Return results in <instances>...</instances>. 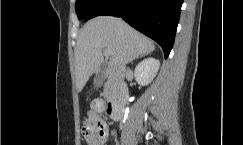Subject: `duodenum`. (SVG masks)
<instances>
[{"mask_svg": "<svg viewBox=\"0 0 243 145\" xmlns=\"http://www.w3.org/2000/svg\"><path fill=\"white\" fill-rule=\"evenodd\" d=\"M108 73L115 79H120L124 76V71L120 69H111ZM127 104V92L125 89L111 97L106 105V113L115 121L123 118Z\"/></svg>", "mask_w": 243, "mask_h": 145, "instance_id": "410a0bca", "label": "duodenum"}]
</instances>
